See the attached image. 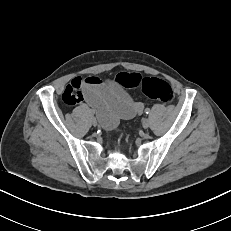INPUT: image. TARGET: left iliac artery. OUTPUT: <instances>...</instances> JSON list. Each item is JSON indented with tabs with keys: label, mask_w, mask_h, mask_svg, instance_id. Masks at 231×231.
<instances>
[{
	"label": "left iliac artery",
	"mask_w": 231,
	"mask_h": 231,
	"mask_svg": "<svg viewBox=\"0 0 231 231\" xmlns=\"http://www.w3.org/2000/svg\"><path fill=\"white\" fill-rule=\"evenodd\" d=\"M145 113H146V114H149V113H150V109H149V108H146V109H145Z\"/></svg>",
	"instance_id": "left-iliac-artery-1"
}]
</instances>
